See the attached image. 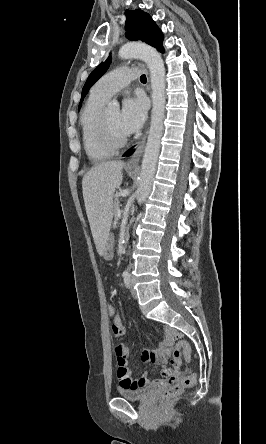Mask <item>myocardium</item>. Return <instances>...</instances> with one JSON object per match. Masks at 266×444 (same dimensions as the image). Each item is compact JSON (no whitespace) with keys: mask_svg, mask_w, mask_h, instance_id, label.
Instances as JSON below:
<instances>
[{"mask_svg":"<svg viewBox=\"0 0 266 444\" xmlns=\"http://www.w3.org/2000/svg\"><path fill=\"white\" fill-rule=\"evenodd\" d=\"M97 136L100 142L107 148L112 150H118L123 148L128 143V136L121 139H115L111 136L106 119V111H102L98 124H97Z\"/></svg>","mask_w":266,"mask_h":444,"instance_id":"1","label":"myocardium"}]
</instances>
